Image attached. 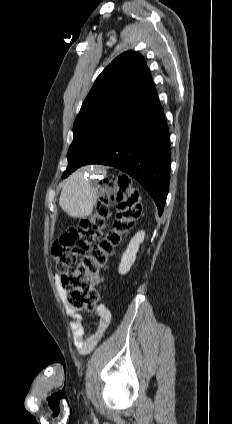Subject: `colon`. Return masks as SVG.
Instances as JSON below:
<instances>
[{
    "label": "colon",
    "instance_id": "5ec220e1",
    "mask_svg": "<svg viewBox=\"0 0 232 424\" xmlns=\"http://www.w3.org/2000/svg\"><path fill=\"white\" fill-rule=\"evenodd\" d=\"M111 200L117 202L118 214L112 229L104 233L111 217ZM141 214L139 191L122 186L111 196H100L94 214L53 244L55 269L70 307L87 312L95 309L99 273Z\"/></svg>",
    "mask_w": 232,
    "mask_h": 424
}]
</instances>
